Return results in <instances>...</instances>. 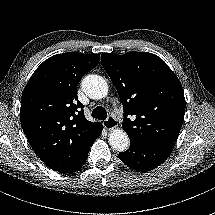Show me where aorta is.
<instances>
[{
	"label": "aorta",
	"instance_id": "1",
	"mask_svg": "<svg viewBox=\"0 0 215 215\" xmlns=\"http://www.w3.org/2000/svg\"><path fill=\"white\" fill-rule=\"evenodd\" d=\"M87 95L94 99H103L109 93L108 83L100 76L90 75L83 80ZM108 141L110 146L118 152L126 151L130 140L124 129L115 128L109 133Z\"/></svg>",
	"mask_w": 215,
	"mask_h": 215
}]
</instances>
